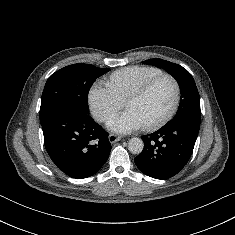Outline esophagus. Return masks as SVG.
<instances>
[{"label":"esophagus","mask_w":235,"mask_h":235,"mask_svg":"<svg viewBox=\"0 0 235 235\" xmlns=\"http://www.w3.org/2000/svg\"><path fill=\"white\" fill-rule=\"evenodd\" d=\"M109 142L110 143H115L117 141H120L122 138L120 136L114 135V134H110L108 136Z\"/></svg>","instance_id":"esophagus-1"}]
</instances>
